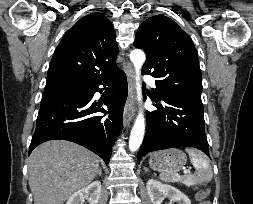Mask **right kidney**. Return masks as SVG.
Returning a JSON list of instances; mask_svg holds the SVG:
<instances>
[{
    "mask_svg": "<svg viewBox=\"0 0 253 204\" xmlns=\"http://www.w3.org/2000/svg\"><path fill=\"white\" fill-rule=\"evenodd\" d=\"M101 193V182L94 181L87 187L80 189L71 195L66 204H82L85 199L90 204H97Z\"/></svg>",
    "mask_w": 253,
    "mask_h": 204,
    "instance_id": "ca27d5eb",
    "label": "right kidney"
}]
</instances>
